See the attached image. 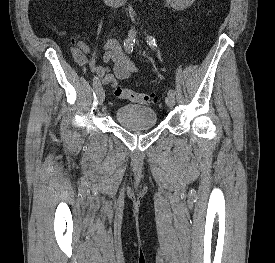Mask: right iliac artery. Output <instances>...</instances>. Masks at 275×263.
Listing matches in <instances>:
<instances>
[{
  "mask_svg": "<svg viewBox=\"0 0 275 263\" xmlns=\"http://www.w3.org/2000/svg\"><path fill=\"white\" fill-rule=\"evenodd\" d=\"M135 35H136L135 30H131L128 35V38L124 41V47L128 53L132 52V50H133V45L135 42ZM93 87L96 91L101 87L100 80L96 76H94V78H93Z\"/></svg>",
  "mask_w": 275,
  "mask_h": 263,
  "instance_id": "82829eb1",
  "label": "right iliac artery"
}]
</instances>
